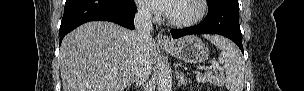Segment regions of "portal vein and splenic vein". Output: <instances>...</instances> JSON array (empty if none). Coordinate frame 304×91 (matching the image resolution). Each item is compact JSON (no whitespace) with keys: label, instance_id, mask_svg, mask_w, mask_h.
I'll use <instances>...</instances> for the list:
<instances>
[{"label":"portal vein and splenic vein","instance_id":"1","mask_svg":"<svg viewBox=\"0 0 304 91\" xmlns=\"http://www.w3.org/2000/svg\"><path fill=\"white\" fill-rule=\"evenodd\" d=\"M212 68L213 69H220V66H219V64H217V63H213L212 64ZM221 70V69H220Z\"/></svg>","mask_w":304,"mask_h":91}]
</instances>
